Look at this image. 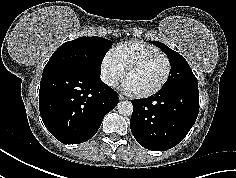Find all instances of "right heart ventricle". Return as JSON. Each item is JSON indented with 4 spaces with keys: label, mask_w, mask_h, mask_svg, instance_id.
I'll use <instances>...</instances> for the list:
<instances>
[{
    "label": "right heart ventricle",
    "mask_w": 236,
    "mask_h": 178,
    "mask_svg": "<svg viewBox=\"0 0 236 178\" xmlns=\"http://www.w3.org/2000/svg\"><path fill=\"white\" fill-rule=\"evenodd\" d=\"M160 49L139 40H130L119 43L111 50V55L122 69L138 58L149 54L159 53Z\"/></svg>",
    "instance_id": "obj_1"
}]
</instances>
